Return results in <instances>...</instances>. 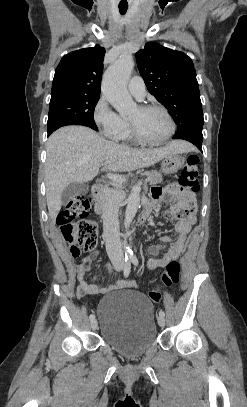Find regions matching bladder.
<instances>
[{
    "mask_svg": "<svg viewBox=\"0 0 247 407\" xmlns=\"http://www.w3.org/2000/svg\"><path fill=\"white\" fill-rule=\"evenodd\" d=\"M96 321L102 339L131 360L144 355L158 337L153 305L135 291L122 290L104 297Z\"/></svg>",
    "mask_w": 247,
    "mask_h": 407,
    "instance_id": "31cf9c89",
    "label": "bladder"
}]
</instances>
